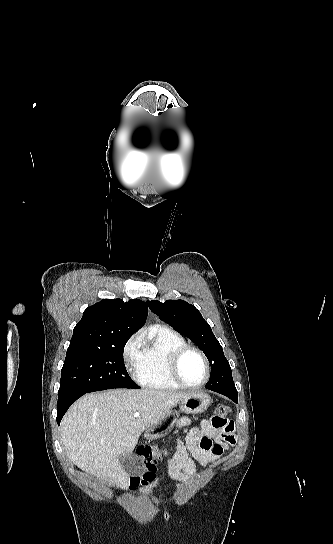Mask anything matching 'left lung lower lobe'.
Instances as JSON below:
<instances>
[{
	"mask_svg": "<svg viewBox=\"0 0 333 544\" xmlns=\"http://www.w3.org/2000/svg\"><path fill=\"white\" fill-rule=\"evenodd\" d=\"M212 391H215L217 393L227 396L228 398L233 400L235 403L238 402V394L235 391H223V390H212Z\"/></svg>",
	"mask_w": 333,
	"mask_h": 544,
	"instance_id": "0a47b994",
	"label": "left lung lower lobe"
}]
</instances>
